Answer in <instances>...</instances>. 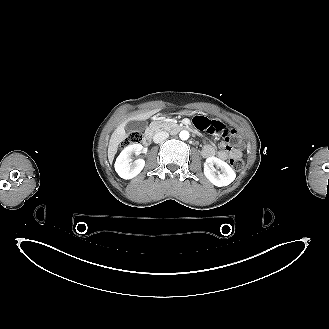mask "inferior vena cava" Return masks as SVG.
<instances>
[{
  "instance_id": "obj_1",
  "label": "inferior vena cava",
  "mask_w": 329,
  "mask_h": 329,
  "mask_svg": "<svg viewBox=\"0 0 329 329\" xmlns=\"http://www.w3.org/2000/svg\"><path fill=\"white\" fill-rule=\"evenodd\" d=\"M169 137V134L165 131L156 132L153 136V141L155 143H161Z\"/></svg>"
}]
</instances>
